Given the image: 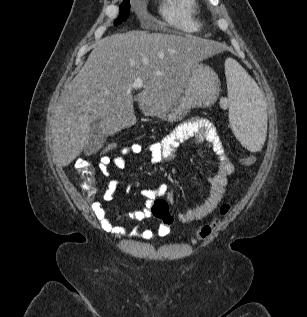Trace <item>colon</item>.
Masks as SVG:
<instances>
[{
    "instance_id": "obj_1",
    "label": "colon",
    "mask_w": 307,
    "mask_h": 317,
    "mask_svg": "<svg viewBox=\"0 0 307 317\" xmlns=\"http://www.w3.org/2000/svg\"><path fill=\"white\" fill-rule=\"evenodd\" d=\"M128 146H120L115 143H107L101 150L102 155H108L110 157H117L123 155L125 149ZM240 162L245 166H251L256 162V157L253 155L243 156ZM75 170L79 177L82 179V188L85 196L91 199L96 194V188L93 180V169L91 164L86 159H78L75 162ZM231 209L229 203H224L219 209V216L213 219L211 222L204 224L197 231V238L204 240L211 236L220 224L221 218L226 216ZM151 213L154 217L159 219L164 225H172L174 219L169 210V205L164 199H155L151 206Z\"/></svg>"
}]
</instances>
